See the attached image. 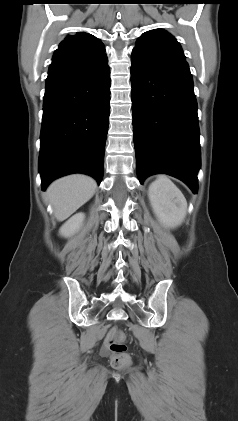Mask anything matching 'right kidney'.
<instances>
[{
  "label": "right kidney",
  "mask_w": 238,
  "mask_h": 421,
  "mask_svg": "<svg viewBox=\"0 0 238 421\" xmlns=\"http://www.w3.org/2000/svg\"><path fill=\"white\" fill-rule=\"evenodd\" d=\"M85 219L84 213H77L65 222L59 230V234L68 238L75 234L83 224Z\"/></svg>",
  "instance_id": "right-kidney-1"
}]
</instances>
